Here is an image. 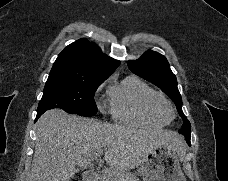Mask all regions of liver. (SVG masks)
Listing matches in <instances>:
<instances>
[{"mask_svg":"<svg viewBox=\"0 0 228 181\" xmlns=\"http://www.w3.org/2000/svg\"><path fill=\"white\" fill-rule=\"evenodd\" d=\"M167 145L177 153L185 149V141L178 133L160 129L140 131L51 109L36 123L29 181H71L78 173L76 167L87 169L103 149H108L104 161L110 169L130 171L143 163L151 149Z\"/></svg>","mask_w":228,"mask_h":181,"instance_id":"liver-1","label":"liver"}]
</instances>
